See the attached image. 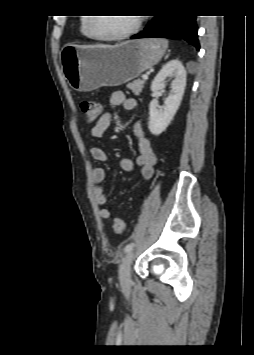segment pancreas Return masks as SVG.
Returning a JSON list of instances; mask_svg holds the SVG:
<instances>
[{
	"label": "pancreas",
	"instance_id": "cf45deb5",
	"mask_svg": "<svg viewBox=\"0 0 254 355\" xmlns=\"http://www.w3.org/2000/svg\"><path fill=\"white\" fill-rule=\"evenodd\" d=\"M144 83H145V80L137 79V80H134L132 83H129L127 85V88L132 90V92L135 95H140V93L142 92Z\"/></svg>",
	"mask_w": 254,
	"mask_h": 355
}]
</instances>
